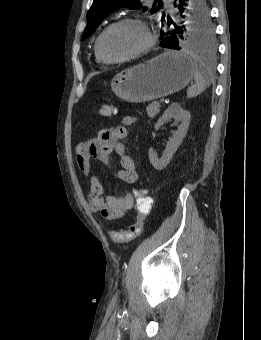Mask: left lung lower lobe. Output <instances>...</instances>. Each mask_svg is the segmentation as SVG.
Wrapping results in <instances>:
<instances>
[{"label":"left lung lower lobe","mask_w":261,"mask_h":340,"mask_svg":"<svg viewBox=\"0 0 261 340\" xmlns=\"http://www.w3.org/2000/svg\"><path fill=\"white\" fill-rule=\"evenodd\" d=\"M205 1V0H204ZM180 4L178 5V9L180 11V14L184 13L185 10L187 9L188 5H189V0H180L179 1ZM176 4V3H175ZM161 21H163V18L161 19ZM173 21L171 19H168V24H172ZM178 40L175 36L173 35H168L165 36L161 42H160V46L161 47H165V48H171V49H177L179 50V46H178Z\"/></svg>","instance_id":"left-lung-lower-lobe-1"}]
</instances>
